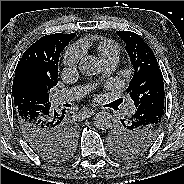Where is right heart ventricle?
Returning a JSON list of instances; mask_svg holds the SVG:
<instances>
[{"label": "right heart ventricle", "mask_w": 184, "mask_h": 184, "mask_svg": "<svg viewBox=\"0 0 184 184\" xmlns=\"http://www.w3.org/2000/svg\"><path fill=\"white\" fill-rule=\"evenodd\" d=\"M85 49V46L88 45V42L79 43ZM97 54L103 62L109 60H119L121 54V47L111 39H101L97 42L95 47Z\"/></svg>", "instance_id": "obj_1"}]
</instances>
